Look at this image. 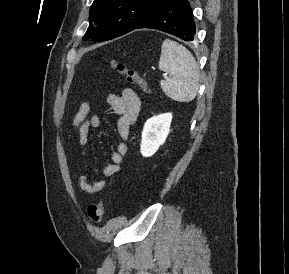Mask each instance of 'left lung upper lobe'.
Segmentation results:
<instances>
[{"mask_svg": "<svg viewBox=\"0 0 289 274\" xmlns=\"http://www.w3.org/2000/svg\"><path fill=\"white\" fill-rule=\"evenodd\" d=\"M165 1L94 0L83 40L101 42L122 36L134 30Z\"/></svg>", "mask_w": 289, "mask_h": 274, "instance_id": "1", "label": "left lung upper lobe"}]
</instances>
